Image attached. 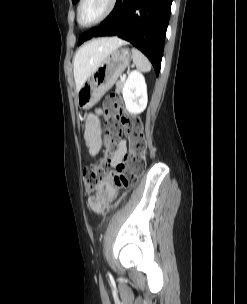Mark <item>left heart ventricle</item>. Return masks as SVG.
I'll return each instance as SVG.
<instances>
[{"label":"left heart ventricle","instance_id":"1","mask_svg":"<svg viewBox=\"0 0 247 304\" xmlns=\"http://www.w3.org/2000/svg\"><path fill=\"white\" fill-rule=\"evenodd\" d=\"M107 0H87L82 7L81 20L89 23L96 19L106 8Z\"/></svg>","mask_w":247,"mask_h":304}]
</instances>
